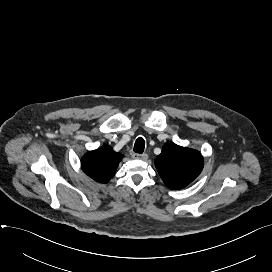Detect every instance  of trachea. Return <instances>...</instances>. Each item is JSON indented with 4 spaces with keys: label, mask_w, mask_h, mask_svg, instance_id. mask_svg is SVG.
<instances>
[{
    "label": "trachea",
    "mask_w": 272,
    "mask_h": 272,
    "mask_svg": "<svg viewBox=\"0 0 272 272\" xmlns=\"http://www.w3.org/2000/svg\"><path fill=\"white\" fill-rule=\"evenodd\" d=\"M145 148V141L143 138L139 137L134 144V152L142 154Z\"/></svg>",
    "instance_id": "1"
}]
</instances>
